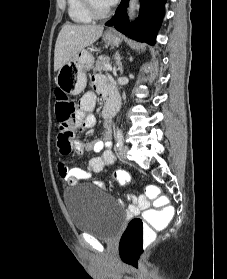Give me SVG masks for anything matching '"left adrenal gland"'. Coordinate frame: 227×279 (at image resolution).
Returning a JSON list of instances; mask_svg holds the SVG:
<instances>
[{"mask_svg": "<svg viewBox=\"0 0 227 279\" xmlns=\"http://www.w3.org/2000/svg\"><path fill=\"white\" fill-rule=\"evenodd\" d=\"M116 64L118 66V69L120 70V73H123V68H122V63H121V57L120 55L117 53L116 55Z\"/></svg>", "mask_w": 227, "mask_h": 279, "instance_id": "left-adrenal-gland-1", "label": "left adrenal gland"}]
</instances>
